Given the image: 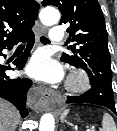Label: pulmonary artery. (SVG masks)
<instances>
[{
  "label": "pulmonary artery",
  "instance_id": "1",
  "mask_svg": "<svg viewBox=\"0 0 117 131\" xmlns=\"http://www.w3.org/2000/svg\"><path fill=\"white\" fill-rule=\"evenodd\" d=\"M63 39H64L63 30L58 26L53 27L50 32V41L52 43H60L63 41Z\"/></svg>",
  "mask_w": 117,
  "mask_h": 131
}]
</instances>
